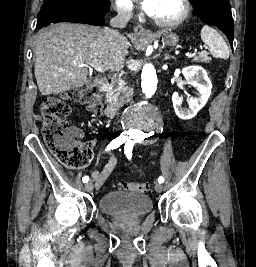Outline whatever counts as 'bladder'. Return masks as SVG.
Returning <instances> with one entry per match:
<instances>
[{"instance_id": "31cf9c89", "label": "bladder", "mask_w": 256, "mask_h": 267, "mask_svg": "<svg viewBox=\"0 0 256 267\" xmlns=\"http://www.w3.org/2000/svg\"><path fill=\"white\" fill-rule=\"evenodd\" d=\"M99 208L102 212L122 216H143L151 212L152 203L148 195H119L109 192L101 196Z\"/></svg>"}]
</instances>
